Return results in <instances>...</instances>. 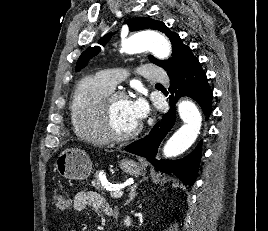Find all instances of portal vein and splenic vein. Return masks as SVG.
<instances>
[{
	"instance_id": "obj_1",
	"label": "portal vein and splenic vein",
	"mask_w": 268,
	"mask_h": 231,
	"mask_svg": "<svg viewBox=\"0 0 268 231\" xmlns=\"http://www.w3.org/2000/svg\"><path fill=\"white\" fill-rule=\"evenodd\" d=\"M107 189L111 192L110 195L113 198H121L123 196V191L120 188H116L110 185Z\"/></svg>"
}]
</instances>
